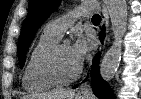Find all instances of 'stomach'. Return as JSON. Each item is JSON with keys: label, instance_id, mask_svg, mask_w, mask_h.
<instances>
[{"label": "stomach", "instance_id": "obj_1", "mask_svg": "<svg viewBox=\"0 0 141 99\" xmlns=\"http://www.w3.org/2000/svg\"><path fill=\"white\" fill-rule=\"evenodd\" d=\"M76 99H88L85 96H77Z\"/></svg>", "mask_w": 141, "mask_h": 99}]
</instances>
